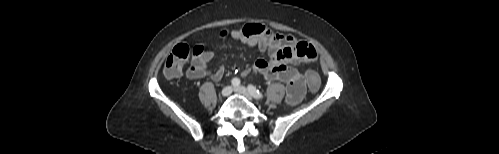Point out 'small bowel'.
<instances>
[{
  "label": "small bowel",
  "instance_id": "c3829d8e",
  "mask_svg": "<svg viewBox=\"0 0 499 154\" xmlns=\"http://www.w3.org/2000/svg\"><path fill=\"white\" fill-rule=\"evenodd\" d=\"M227 39L240 41L269 54V60H257L251 68L243 70V77L260 74L267 81H281L286 84L287 103L296 105L301 101L306 89L305 79L291 64L315 61V47L308 42L298 41L292 35L274 33L262 24L253 23L224 30L211 42L195 46L186 76L189 79L209 77L215 82L220 81L224 67L210 70L209 64L214 57L212 48Z\"/></svg>",
  "mask_w": 499,
  "mask_h": 154
}]
</instances>
